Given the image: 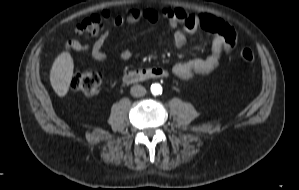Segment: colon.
Returning a JSON list of instances; mask_svg holds the SVG:
<instances>
[{
    "label": "colon",
    "instance_id": "colon-1",
    "mask_svg": "<svg viewBox=\"0 0 299 190\" xmlns=\"http://www.w3.org/2000/svg\"><path fill=\"white\" fill-rule=\"evenodd\" d=\"M111 18L109 11H103L95 14L79 23L75 28V33L81 36H94L98 34L104 25ZM208 18L201 17L200 24L202 27L208 24ZM241 58L246 63H252L255 59L254 53L250 48H244L241 52ZM102 78L99 74L84 70L74 75L71 81L73 89L84 93L87 96H95L99 93Z\"/></svg>",
    "mask_w": 299,
    "mask_h": 190
}]
</instances>
